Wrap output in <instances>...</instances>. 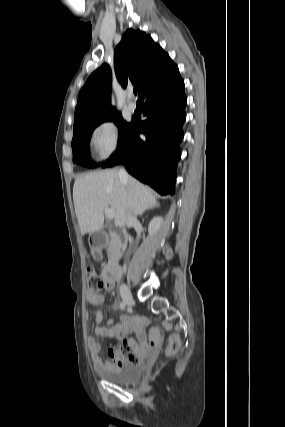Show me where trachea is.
<instances>
[{
  "label": "trachea",
  "mask_w": 285,
  "mask_h": 427,
  "mask_svg": "<svg viewBox=\"0 0 285 427\" xmlns=\"http://www.w3.org/2000/svg\"><path fill=\"white\" fill-rule=\"evenodd\" d=\"M137 92H138V89H137V88H135V89H134V94L136 95V94H137Z\"/></svg>",
  "instance_id": "1"
}]
</instances>
